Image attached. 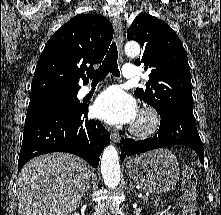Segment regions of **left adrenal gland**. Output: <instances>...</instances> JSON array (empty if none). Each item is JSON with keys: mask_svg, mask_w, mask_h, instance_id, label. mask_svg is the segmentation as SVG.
Here are the masks:
<instances>
[{"mask_svg": "<svg viewBox=\"0 0 221 215\" xmlns=\"http://www.w3.org/2000/svg\"><path fill=\"white\" fill-rule=\"evenodd\" d=\"M129 190H135V187L131 181L129 183ZM135 194H136V190H135Z\"/></svg>", "mask_w": 221, "mask_h": 215, "instance_id": "left-adrenal-gland-1", "label": "left adrenal gland"}]
</instances>
